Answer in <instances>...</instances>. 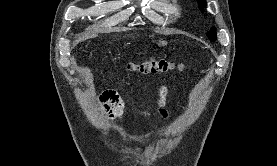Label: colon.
Returning a JSON list of instances; mask_svg holds the SVG:
<instances>
[{
    "label": "colon",
    "instance_id": "5ec220e1",
    "mask_svg": "<svg viewBox=\"0 0 277 166\" xmlns=\"http://www.w3.org/2000/svg\"><path fill=\"white\" fill-rule=\"evenodd\" d=\"M131 68L145 74L160 73L173 69L174 64L165 58L153 57L135 64H131Z\"/></svg>",
    "mask_w": 277,
    "mask_h": 166
}]
</instances>
